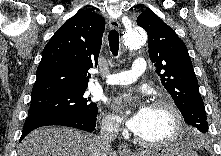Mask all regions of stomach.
<instances>
[{"instance_id": "0dacf381", "label": "stomach", "mask_w": 221, "mask_h": 156, "mask_svg": "<svg viewBox=\"0 0 221 156\" xmlns=\"http://www.w3.org/2000/svg\"><path fill=\"white\" fill-rule=\"evenodd\" d=\"M146 156H198V154L187 146L174 143L151 151Z\"/></svg>"}]
</instances>
